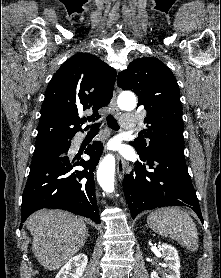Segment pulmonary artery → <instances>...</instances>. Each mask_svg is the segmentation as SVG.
<instances>
[{"mask_svg": "<svg viewBox=\"0 0 221 278\" xmlns=\"http://www.w3.org/2000/svg\"><path fill=\"white\" fill-rule=\"evenodd\" d=\"M121 126L123 129H133L136 125L134 115L126 114L120 117Z\"/></svg>", "mask_w": 221, "mask_h": 278, "instance_id": "1", "label": "pulmonary artery"}]
</instances>
